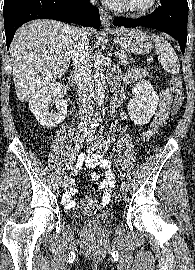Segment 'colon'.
Instances as JSON below:
<instances>
[{"instance_id": "5ec220e1", "label": "colon", "mask_w": 195, "mask_h": 270, "mask_svg": "<svg viewBox=\"0 0 195 270\" xmlns=\"http://www.w3.org/2000/svg\"><path fill=\"white\" fill-rule=\"evenodd\" d=\"M170 89L174 94V102L172 106V115L175 116L179 113L184 102V90L181 78L179 76H172L170 79ZM115 202H119L121 197L118 193L113 196Z\"/></svg>"}]
</instances>
